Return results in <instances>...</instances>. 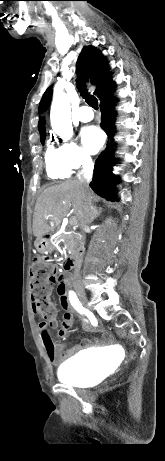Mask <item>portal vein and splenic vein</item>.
Here are the masks:
<instances>
[{
  "label": "portal vein and splenic vein",
  "instance_id": "1",
  "mask_svg": "<svg viewBox=\"0 0 165 461\" xmlns=\"http://www.w3.org/2000/svg\"><path fill=\"white\" fill-rule=\"evenodd\" d=\"M69 223H70L71 225H75V224H77V219H76V217H72V218H70V221H69Z\"/></svg>",
  "mask_w": 165,
  "mask_h": 461
}]
</instances>
